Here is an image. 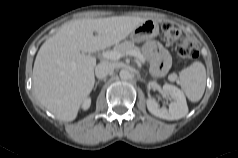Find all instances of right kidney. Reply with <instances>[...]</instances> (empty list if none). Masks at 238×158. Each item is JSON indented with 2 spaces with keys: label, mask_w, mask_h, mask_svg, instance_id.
Here are the masks:
<instances>
[{
  "label": "right kidney",
  "mask_w": 238,
  "mask_h": 158,
  "mask_svg": "<svg viewBox=\"0 0 238 158\" xmlns=\"http://www.w3.org/2000/svg\"><path fill=\"white\" fill-rule=\"evenodd\" d=\"M90 104H91V100H90V98H87L84 100V102L82 104V108L84 110H87L90 107Z\"/></svg>",
  "instance_id": "right-kidney-1"
}]
</instances>
